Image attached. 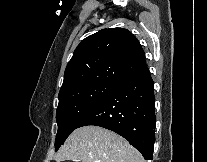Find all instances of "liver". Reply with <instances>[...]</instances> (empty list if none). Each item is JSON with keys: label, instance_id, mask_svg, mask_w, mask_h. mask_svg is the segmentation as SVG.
Instances as JSON below:
<instances>
[{"label": "liver", "instance_id": "liver-1", "mask_svg": "<svg viewBox=\"0 0 207 162\" xmlns=\"http://www.w3.org/2000/svg\"><path fill=\"white\" fill-rule=\"evenodd\" d=\"M145 162L141 153L120 135L87 125L74 130L56 155V161Z\"/></svg>", "mask_w": 207, "mask_h": 162}]
</instances>
